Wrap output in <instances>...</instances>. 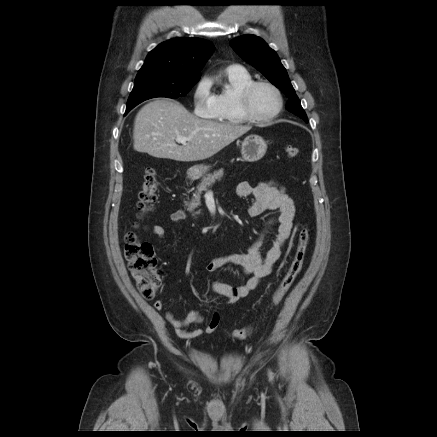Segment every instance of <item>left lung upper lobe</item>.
<instances>
[{
	"label": "left lung upper lobe",
	"instance_id": "obj_1",
	"mask_svg": "<svg viewBox=\"0 0 437 437\" xmlns=\"http://www.w3.org/2000/svg\"><path fill=\"white\" fill-rule=\"evenodd\" d=\"M230 46L246 62L259 70L272 84L289 98L286 109L308 122L307 115L290 82L286 69L276 52L261 38L243 35L230 41Z\"/></svg>",
	"mask_w": 437,
	"mask_h": 437
}]
</instances>
